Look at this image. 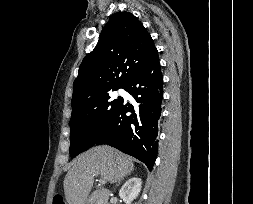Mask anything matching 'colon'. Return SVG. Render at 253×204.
Instances as JSON below:
<instances>
[{"mask_svg": "<svg viewBox=\"0 0 253 204\" xmlns=\"http://www.w3.org/2000/svg\"><path fill=\"white\" fill-rule=\"evenodd\" d=\"M53 204H65V201L60 194H55L53 197Z\"/></svg>", "mask_w": 253, "mask_h": 204, "instance_id": "obj_1", "label": "colon"}]
</instances>
